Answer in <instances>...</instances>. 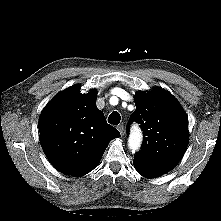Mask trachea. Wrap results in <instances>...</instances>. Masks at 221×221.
Listing matches in <instances>:
<instances>
[{"label": "trachea", "instance_id": "1", "mask_svg": "<svg viewBox=\"0 0 221 221\" xmlns=\"http://www.w3.org/2000/svg\"><path fill=\"white\" fill-rule=\"evenodd\" d=\"M121 117L117 111H113L108 118V122L112 125H118L120 123Z\"/></svg>", "mask_w": 221, "mask_h": 221}]
</instances>
